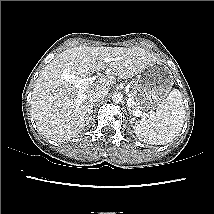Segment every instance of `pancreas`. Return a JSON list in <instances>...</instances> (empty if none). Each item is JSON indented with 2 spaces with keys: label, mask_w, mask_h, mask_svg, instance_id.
Returning <instances> with one entry per match:
<instances>
[{
  "label": "pancreas",
  "mask_w": 214,
  "mask_h": 214,
  "mask_svg": "<svg viewBox=\"0 0 214 214\" xmlns=\"http://www.w3.org/2000/svg\"><path fill=\"white\" fill-rule=\"evenodd\" d=\"M131 108H132L133 112L138 110V108H137V107H135V105H134V104L131 106Z\"/></svg>",
  "instance_id": "obj_1"
}]
</instances>
